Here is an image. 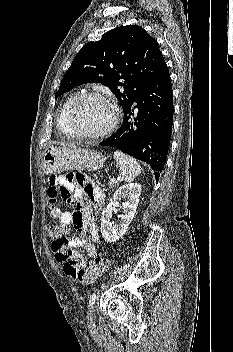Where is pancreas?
Listing matches in <instances>:
<instances>
[{"label": "pancreas", "instance_id": "obj_1", "mask_svg": "<svg viewBox=\"0 0 233 352\" xmlns=\"http://www.w3.org/2000/svg\"><path fill=\"white\" fill-rule=\"evenodd\" d=\"M108 185H109L110 188L116 187V186L119 185V181H116V182L110 181V182L108 183Z\"/></svg>", "mask_w": 233, "mask_h": 352}]
</instances>
